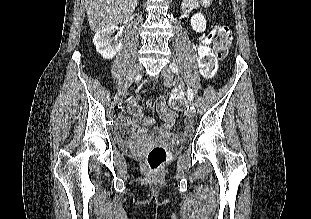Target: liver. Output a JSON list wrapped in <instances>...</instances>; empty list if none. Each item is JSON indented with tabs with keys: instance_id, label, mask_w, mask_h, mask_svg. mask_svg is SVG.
Instances as JSON below:
<instances>
[{
	"instance_id": "obj_1",
	"label": "liver",
	"mask_w": 311,
	"mask_h": 219,
	"mask_svg": "<svg viewBox=\"0 0 311 219\" xmlns=\"http://www.w3.org/2000/svg\"><path fill=\"white\" fill-rule=\"evenodd\" d=\"M89 26L93 31L116 26L127 20L137 6V0H86Z\"/></svg>"
}]
</instances>
